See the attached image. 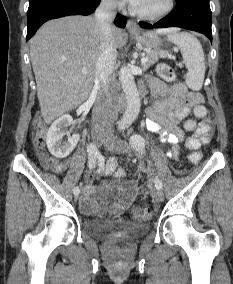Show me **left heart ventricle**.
<instances>
[{"instance_id":"left-heart-ventricle-1","label":"left heart ventricle","mask_w":233,"mask_h":284,"mask_svg":"<svg viewBox=\"0 0 233 284\" xmlns=\"http://www.w3.org/2000/svg\"><path fill=\"white\" fill-rule=\"evenodd\" d=\"M166 0H141L135 7L144 12H155L163 8Z\"/></svg>"}]
</instances>
